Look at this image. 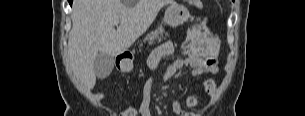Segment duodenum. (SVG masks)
Returning <instances> with one entry per match:
<instances>
[{
  "label": "duodenum",
  "mask_w": 305,
  "mask_h": 116,
  "mask_svg": "<svg viewBox=\"0 0 305 116\" xmlns=\"http://www.w3.org/2000/svg\"><path fill=\"white\" fill-rule=\"evenodd\" d=\"M130 56L129 53H122L118 56V61L123 62L124 60L128 59Z\"/></svg>",
  "instance_id": "410a0bca"
}]
</instances>
